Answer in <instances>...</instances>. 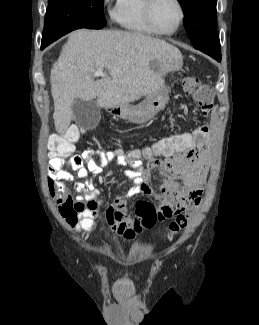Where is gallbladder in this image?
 Listing matches in <instances>:
<instances>
[{"mask_svg": "<svg viewBox=\"0 0 259 325\" xmlns=\"http://www.w3.org/2000/svg\"><path fill=\"white\" fill-rule=\"evenodd\" d=\"M72 113L75 120L83 126L93 128L100 121V113L95 100L85 101L76 99L72 104Z\"/></svg>", "mask_w": 259, "mask_h": 325, "instance_id": "1", "label": "gallbladder"}]
</instances>
